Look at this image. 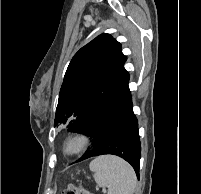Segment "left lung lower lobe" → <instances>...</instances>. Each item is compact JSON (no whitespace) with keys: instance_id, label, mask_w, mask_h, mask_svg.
<instances>
[{"instance_id":"left-lung-lower-lobe-1","label":"left lung lower lobe","mask_w":201,"mask_h":194,"mask_svg":"<svg viewBox=\"0 0 201 194\" xmlns=\"http://www.w3.org/2000/svg\"><path fill=\"white\" fill-rule=\"evenodd\" d=\"M128 82L129 76L79 132L94 138L92 149L78 161L103 154L117 155L132 165L139 179L141 146Z\"/></svg>"}]
</instances>
